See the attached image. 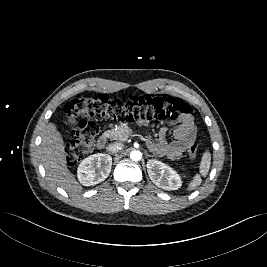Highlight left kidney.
Instances as JSON below:
<instances>
[{
  "mask_svg": "<svg viewBox=\"0 0 267 267\" xmlns=\"http://www.w3.org/2000/svg\"><path fill=\"white\" fill-rule=\"evenodd\" d=\"M147 171L151 181L164 190H177L182 185L180 175L172 167L161 161L149 160Z\"/></svg>",
  "mask_w": 267,
  "mask_h": 267,
  "instance_id": "5707ae66",
  "label": "left kidney"
}]
</instances>
